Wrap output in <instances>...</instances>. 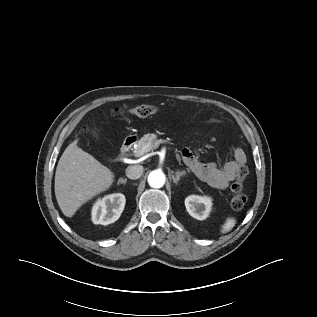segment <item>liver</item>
<instances>
[{"label":"liver","mask_w":317,"mask_h":317,"mask_svg":"<svg viewBox=\"0 0 317 317\" xmlns=\"http://www.w3.org/2000/svg\"><path fill=\"white\" fill-rule=\"evenodd\" d=\"M114 174L72 142L59 159L55 172V196L62 213L72 217L85 202L107 190Z\"/></svg>","instance_id":"1"}]
</instances>
